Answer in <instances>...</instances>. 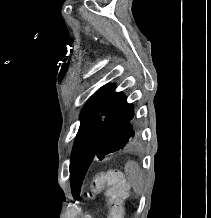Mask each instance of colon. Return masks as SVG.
Listing matches in <instances>:
<instances>
[{
    "mask_svg": "<svg viewBox=\"0 0 211 218\" xmlns=\"http://www.w3.org/2000/svg\"><path fill=\"white\" fill-rule=\"evenodd\" d=\"M103 192L107 198L109 212L106 218H123L124 201L128 197L129 185L120 170L109 169L96 173L91 182V194Z\"/></svg>",
    "mask_w": 211,
    "mask_h": 218,
    "instance_id": "1",
    "label": "colon"
}]
</instances>
